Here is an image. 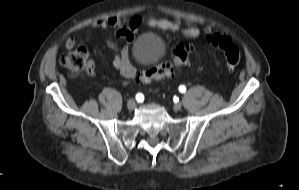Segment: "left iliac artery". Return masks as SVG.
Listing matches in <instances>:
<instances>
[{"instance_id":"1","label":"left iliac artery","mask_w":299,"mask_h":190,"mask_svg":"<svg viewBox=\"0 0 299 190\" xmlns=\"http://www.w3.org/2000/svg\"><path fill=\"white\" fill-rule=\"evenodd\" d=\"M179 91L181 93H185L186 92V87L184 85L179 86Z\"/></svg>"}]
</instances>
